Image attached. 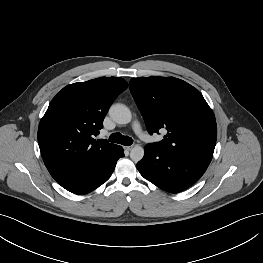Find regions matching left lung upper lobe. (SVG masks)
Returning <instances> with one entry per match:
<instances>
[{
  "mask_svg": "<svg viewBox=\"0 0 263 263\" xmlns=\"http://www.w3.org/2000/svg\"><path fill=\"white\" fill-rule=\"evenodd\" d=\"M129 89L150 134L166 128L159 150L174 151L210 164L217 138L213 111L193 86L174 77H140L130 80Z\"/></svg>",
  "mask_w": 263,
  "mask_h": 263,
  "instance_id": "5c2ea615",
  "label": "left lung upper lobe"
}]
</instances>
